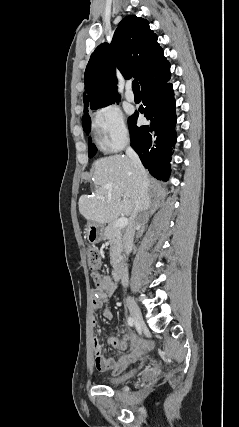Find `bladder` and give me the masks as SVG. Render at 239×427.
I'll return each mask as SVG.
<instances>
[{
    "instance_id": "obj_1",
    "label": "bladder",
    "mask_w": 239,
    "mask_h": 427,
    "mask_svg": "<svg viewBox=\"0 0 239 427\" xmlns=\"http://www.w3.org/2000/svg\"><path fill=\"white\" fill-rule=\"evenodd\" d=\"M137 370H132L126 374L119 375V376H109L105 379V381L110 385H117L121 384L130 378H132L136 374Z\"/></svg>"
}]
</instances>
